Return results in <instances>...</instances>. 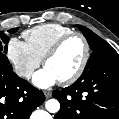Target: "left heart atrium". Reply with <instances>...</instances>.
I'll return each mask as SVG.
<instances>
[{"instance_id": "left-heart-atrium-1", "label": "left heart atrium", "mask_w": 119, "mask_h": 119, "mask_svg": "<svg viewBox=\"0 0 119 119\" xmlns=\"http://www.w3.org/2000/svg\"><path fill=\"white\" fill-rule=\"evenodd\" d=\"M57 81V77L46 67L36 72L33 76V83L41 88L50 87Z\"/></svg>"}]
</instances>
